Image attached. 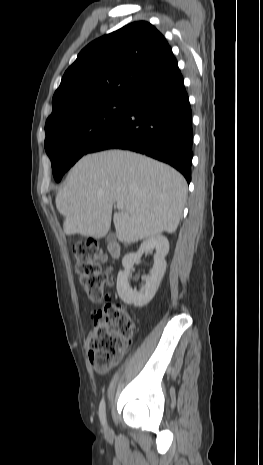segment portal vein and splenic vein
<instances>
[{"instance_id": "18ae733b", "label": "portal vein and splenic vein", "mask_w": 263, "mask_h": 465, "mask_svg": "<svg viewBox=\"0 0 263 465\" xmlns=\"http://www.w3.org/2000/svg\"><path fill=\"white\" fill-rule=\"evenodd\" d=\"M116 207L118 210H122L124 208V205L123 203H117Z\"/></svg>"}]
</instances>
